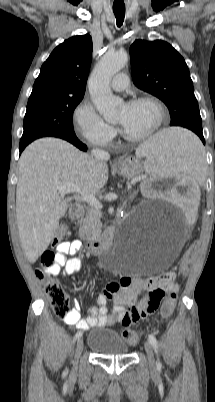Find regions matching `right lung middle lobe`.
Here are the masks:
<instances>
[{
  "instance_id": "obj_1",
  "label": "right lung middle lobe",
  "mask_w": 215,
  "mask_h": 402,
  "mask_svg": "<svg viewBox=\"0 0 215 402\" xmlns=\"http://www.w3.org/2000/svg\"><path fill=\"white\" fill-rule=\"evenodd\" d=\"M82 99L83 97L54 94L30 96L20 145H28L45 136L60 138L75 134L73 112Z\"/></svg>"
}]
</instances>
